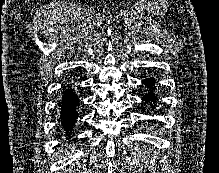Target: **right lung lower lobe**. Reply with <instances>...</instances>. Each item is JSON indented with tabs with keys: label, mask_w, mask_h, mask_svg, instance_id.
Instances as JSON below:
<instances>
[{
	"label": "right lung lower lobe",
	"mask_w": 219,
	"mask_h": 173,
	"mask_svg": "<svg viewBox=\"0 0 219 173\" xmlns=\"http://www.w3.org/2000/svg\"><path fill=\"white\" fill-rule=\"evenodd\" d=\"M76 106H78V97L73 93L72 89H67L64 92V96L61 103V115L62 125L66 131H70L73 128L77 119Z\"/></svg>",
	"instance_id": "obj_1"
}]
</instances>
